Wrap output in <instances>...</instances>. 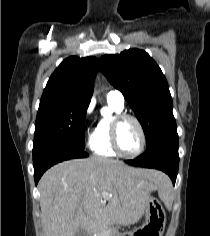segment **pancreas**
Here are the masks:
<instances>
[{"instance_id": "cf45deb5", "label": "pancreas", "mask_w": 210, "mask_h": 236, "mask_svg": "<svg viewBox=\"0 0 210 236\" xmlns=\"http://www.w3.org/2000/svg\"><path fill=\"white\" fill-rule=\"evenodd\" d=\"M113 232H116V228H113V229H109L108 230V233H111L110 235H103V236H113L112 233ZM100 236V235H99Z\"/></svg>"}]
</instances>
